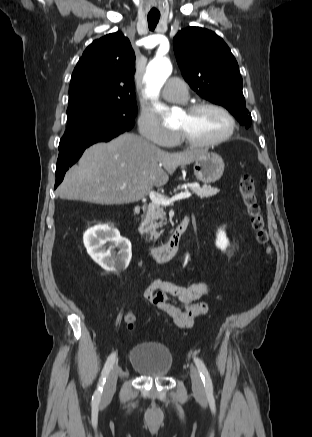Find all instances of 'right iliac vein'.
<instances>
[{
  "label": "right iliac vein",
  "mask_w": 312,
  "mask_h": 437,
  "mask_svg": "<svg viewBox=\"0 0 312 437\" xmlns=\"http://www.w3.org/2000/svg\"><path fill=\"white\" fill-rule=\"evenodd\" d=\"M118 374H119V366L115 365L108 377H107V381L105 383V387H104V391H103V395H102V402H107L109 401L116 389V382H117V378H118Z\"/></svg>",
  "instance_id": "obj_1"
}]
</instances>
